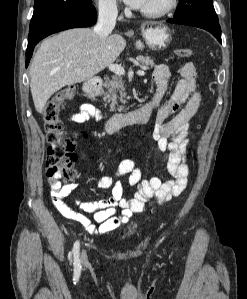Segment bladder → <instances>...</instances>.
<instances>
[{"label":"bladder","instance_id":"1","mask_svg":"<svg viewBox=\"0 0 247 299\" xmlns=\"http://www.w3.org/2000/svg\"><path fill=\"white\" fill-rule=\"evenodd\" d=\"M133 233H134V230L130 231V232H129V235H132Z\"/></svg>","mask_w":247,"mask_h":299}]
</instances>
